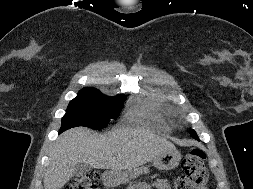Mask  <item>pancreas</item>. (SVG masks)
Here are the masks:
<instances>
[{"instance_id": "obj_1", "label": "pancreas", "mask_w": 253, "mask_h": 189, "mask_svg": "<svg viewBox=\"0 0 253 189\" xmlns=\"http://www.w3.org/2000/svg\"><path fill=\"white\" fill-rule=\"evenodd\" d=\"M148 170L144 169V168H134V169H129L128 175L129 178H136L137 176H139L142 173H147Z\"/></svg>"}]
</instances>
